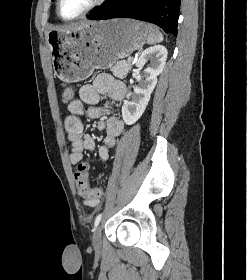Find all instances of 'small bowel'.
<instances>
[{"label":"small bowel","mask_w":247,"mask_h":280,"mask_svg":"<svg viewBox=\"0 0 247 280\" xmlns=\"http://www.w3.org/2000/svg\"><path fill=\"white\" fill-rule=\"evenodd\" d=\"M126 94V86L110 74H99L92 84H85L79 89V99L68 105L70 114L64 120V127L71 143L69 159L72 164H81L83 152L95 148V140L84 133L81 116L84 113L91 119L97 120V129L105 132L103 144L99 148V158L102 162L108 159L109 151L117 142L123 131V122L110 116L106 108L98 106L101 95H106L112 101H120ZM89 206H96L98 199L84 200Z\"/></svg>","instance_id":"1"}]
</instances>
